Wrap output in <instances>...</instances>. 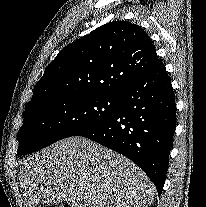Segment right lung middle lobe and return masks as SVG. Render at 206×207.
Wrapping results in <instances>:
<instances>
[{"instance_id": "right-lung-middle-lobe-1", "label": "right lung middle lobe", "mask_w": 206, "mask_h": 207, "mask_svg": "<svg viewBox=\"0 0 206 207\" xmlns=\"http://www.w3.org/2000/svg\"><path fill=\"white\" fill-rule=\"evenodd\" d=\"M120 102V94H104L54 98L34 105L25 110L18 153L28 154L78 135L112 116Z\"/></svg>"}]
</instances>
